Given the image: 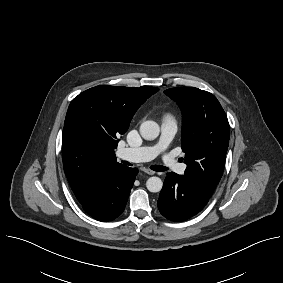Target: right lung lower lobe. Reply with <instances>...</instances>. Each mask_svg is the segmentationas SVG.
Here are the masks:
<instances>
[{"instance_id": "98d812e1", "label": "right lung lower lobe", "mask_w": 283, "mask_h": 283, "mask_svg": "<svg viewBox=\"0 0 283 283\" xmlns=\"http://www.w3.org/2000/svg\"><path fill=\"white\" fill-rule=\"evenodd\" d=\"M137 173V168L119 163L103 168L79 200L85 212L103 222L117 218L126 206Z\"/></svg>"}]
</instances>
